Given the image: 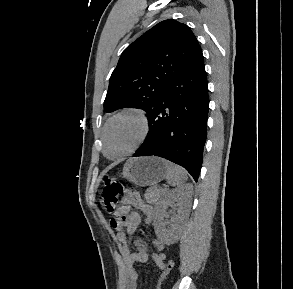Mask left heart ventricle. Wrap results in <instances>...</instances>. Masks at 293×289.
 <instances>
[{
	"instance_id": "b2bd125f",
	"label": "left heart ventricle",
	"mask_w": 293,
	"mask_h": 289,
	"mask_svg": "<svg viewBox=\"0 0 293 289\" xmlns=\"http://www.w3.org/2000/svg\"><path fill=\"white\" fill-rule=\"evenodd\" d=\"M140 123L133 116H123L113 121L107 132V153L115 157L125 153L137 141Z\"/></svg>"
}]
</instances>
